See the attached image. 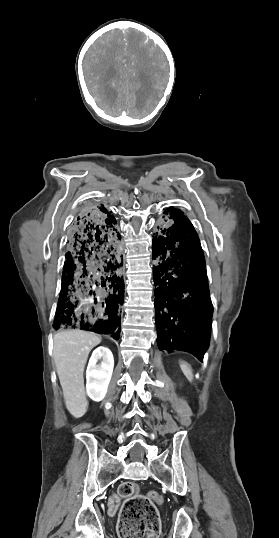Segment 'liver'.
Listing matches in <instances>:
<instances>
[{
  "label": "liver",
  "mask_w": 279,
  "mask_h": 538,
  "mask_svg": "<svg viewBox=\"0 0 279 538\" xmlns=\"http://www.w3.org/2000/svg\"><path fill=\"white\" fill-rule=\"evenodd\" d=\"M101 338L83 330H61L54 336L53 358L66 408L74 418L87 412L83 372L89 352Z\"/></svg>",
  "instance_id": "liver-1"
}]
</instances>
